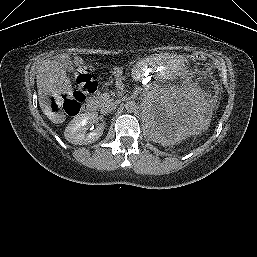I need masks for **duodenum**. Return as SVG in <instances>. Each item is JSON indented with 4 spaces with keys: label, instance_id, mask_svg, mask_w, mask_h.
<instances>
[{
    "label": "duodenum",
    "instance_id": "1",
    "mask_svg": "<svg viewBox=\"0 0 257 257\" xmlns=\"http://www.w3.org/2000/svg\"><path fill=\"white\" fill-rule=\"evenodd\" d=\"M95 110V106L92 102H88L83 106V111L87 114L93 113Z\"/></svg>",
    "mask_w": 257,
    "mask_h": 257
}]
</instances>
